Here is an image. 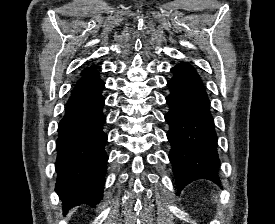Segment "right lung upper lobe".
<instances>
[{"label": "right lung upper lobe", "instance_id": "1", "mask_svg": "<svg viewBox=\"0 0 275 224\" xmlns=\"http://www.w3.org/2000/svg\"><path fill=\"white\" fill-rule=\"evenodd\" d=\"M93 73H97V71H96V66H91V67L85 68V69L81 72V75H82V77H83V76H86V75H89V74H93Z\"/></svg>", "mask_w": 275, "mask_h": 224}]
</instances>
